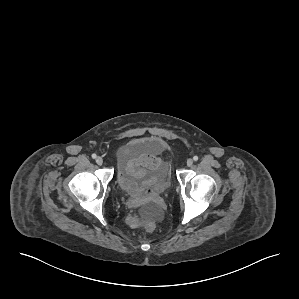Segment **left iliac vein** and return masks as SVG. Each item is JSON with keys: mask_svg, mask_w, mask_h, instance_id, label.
Masks as SVG:
<instances>
[{"mask_svg": "<svg viewBox=\"0 0 299 299\" xmlns=\"http://www.w3.org/2000/svg\"><path fill=\"white\" fill-rule=\"evenodd\" d=\"M187 166H192L193 164V160L192 159H188L186 162Z\"/></svg>", "mask_w": 299, "mask_h": 299, "instance_id": "1", "label": "left iliac vein"}]
</instances>
